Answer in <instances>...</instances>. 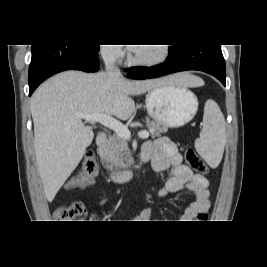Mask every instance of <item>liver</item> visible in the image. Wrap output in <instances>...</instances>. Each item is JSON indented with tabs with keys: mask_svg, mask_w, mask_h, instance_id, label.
Wrapping results in <instances>:
<instances>
[{
	"mask_svg": "<svg viewBox=\"0 0 267 267\" xmlns=\"http://www.w3.org/2000/svg\"><path fill=\"white\" fill-rule=\"evenodd\" d=\"M164 85L201 87L204 81L189 73L162 79L130 81L106 73H59L32 95L34 147L45 197L52 202L81 161L94 133L79 114L103 113L128 119L135 110L131 95Z\"/></svg>",
	"mask_w": 267,
	"mask_h": 267,
	"instance_id": "liver-1",
	"label": "liver"
}]
</instances>
